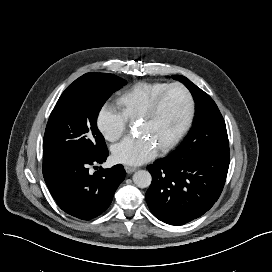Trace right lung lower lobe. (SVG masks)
I'll list each match as a JSON object with an SVG mask.
<instances>
[{"instance_id":"98d812e1","label":"right lung lower lobe","mask_w":272,"mask_h":272,"mask_svg":"<svg viewBox=\"0 0 272 272\" xmlns=\"http://www.w3.org/2000/svg\"><path fill=\"white\" fill-rule=\"evenodd\" d=\"M107 148L92 154L69 152L43 154V176L58 206L71 216L90 220L102 214L110 205L114 193L125 178L121 164L94 174L89 168L102 164Z\"/></svg>"}]
</instances>
